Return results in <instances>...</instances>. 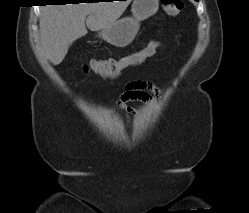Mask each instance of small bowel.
<instances>
[{
    "mask_svg": "<svg viewBox=\"0 0 249 213\" xmlns=\"http://www.w3.org/2000/svg\"><path fill=\"white\" fill-rule=\"evenodd\" d=\"M126 57H129L126 56ZM144 60L134 61L129 64V67L137 66ZM160 97V91L153 84L146 81H132L129 82L124 92L120 95L118 101L115 103V109H121L129 115L136 117V110L131 107L128 103L131 101L140 102L146 105H152L155 98Z\"/></svg>",
    "mask_w": 249,
    "mask_h": 213,
    "instance_id": "small-bowel-1",
    "label": "small bowel"
}]
</instances>
